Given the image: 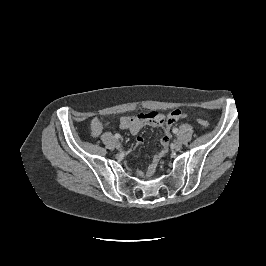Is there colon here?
<instances>
[{"label": "colon", "mask_w": 266, "mask_h": 266, "mask_svg": "<svg viewBox=\"0 0 266 266\" xmlns=\"http://www.w3.org/2000/svg\"><path fill=\"white\" fill-rule=\"evenodd\" d=\"M197 123L199 126H201L203 128H206L209 125L208 121H206L204 119H197Z\"/></svg>", "instance_id": "1"}]
</instances>
